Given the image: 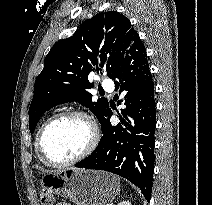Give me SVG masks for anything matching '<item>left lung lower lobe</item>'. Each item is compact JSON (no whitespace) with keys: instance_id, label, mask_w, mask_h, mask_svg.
<instances>
[{"instance_id":"left-lung-lower-lobe-1","label":"left lung lower lobe","mask_w":212,"mask_h":205,"mask_svg":"<svg viewBox=\"0 0 212 205\" xmlns=\"http://www.w3.org/2000/svg\"><path fill=\"white\" fill-rule=\"evenodd\" d=\"M112 79L115 91L125 96L120 123L112 126L110 107L101 120L102 138L93 153L75 164L79 168L115 173L137 185L146 200L151 198L154 168L156 103L154 84L145 47L135 38Z\"/></svg>"}]
</instances>
